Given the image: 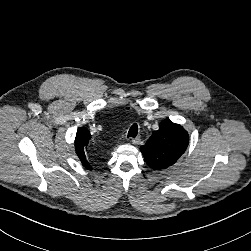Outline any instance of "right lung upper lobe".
<instances>
[{"label":"right lung upper lobe","mask_w":251,"mask_h":251,"mask_svg":"<svg viewBox=\"0 0 251 251\" xmlns=\"http://www.w3.org/2000/svg\"><path fill=\"white\" fill-rule=\"evenodd\" d=\"M90 138H91L90 132L84 127L79 128L76 134V138H75L76 154L81 160L82 165L89 170H91L92 167L88 159L86 158L85 150H86V147L88 145Z\"/></svg>","instance_id":"cb5924a9"}]
</instances>
